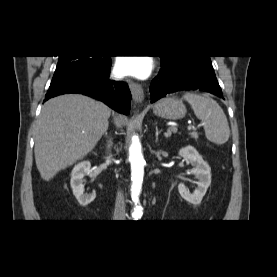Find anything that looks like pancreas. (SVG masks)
<instances>
[{"label":"pancreas","mask_w":277,"mask_h":277,"mask_svg":"<svg viewBox=\"0 0 277 277\" xmlns=\"http://www.w3.org/2000/svg\"><path fill=\"white\" fill-rule=\"evenodd\" d=\"M190 135H191V137H193V138H195V139H197V138H198V134H197V133H195V132H192Z\"/></svg>","instance_id":"1"}]
</instances>
